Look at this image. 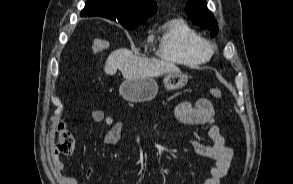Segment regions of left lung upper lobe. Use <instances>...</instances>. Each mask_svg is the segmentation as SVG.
<instances>
[{"instance_id":"left-lung-upper-lobe-1","label":"left lung upper lobe","mask_w":293,"mask_h":184,"mask_svg":"<svg viewBox=\"0 0 293 184\" xmlns=\"http://www.w3.org/2000/svg\"><path fill=\"white\" fill-rule=\"evenodd\" d=\"M185 11L192 22L210 30L212 36L217 35V21L211 11L207 9L205 0H189L186 4Z\"/></svg>"}]
</instances>
